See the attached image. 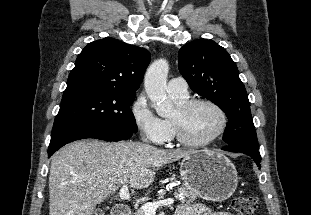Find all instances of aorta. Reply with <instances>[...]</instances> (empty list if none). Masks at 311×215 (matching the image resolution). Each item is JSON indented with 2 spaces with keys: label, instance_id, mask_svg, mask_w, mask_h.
I'll list each match as a JSON object with an SVG mask.
<instances>
[{
  "label": "aorta",
  "instance_id": "obj_1",
  "mask_svg": "<svg viewBox=\"0 0 311 215\" xmlns=\"http://www.w3.org/2000/svg\"><path fill=\"white\" fill-rule=\"evenodd\" d=\"M168 71V62L158 59L148 67L144 77L146 94L160 117L168 116L173 110V104L166 94Z\"/></svg>",
  "mask_w": 311,
  "mask_h": 215
}]
</instances>
